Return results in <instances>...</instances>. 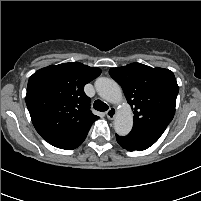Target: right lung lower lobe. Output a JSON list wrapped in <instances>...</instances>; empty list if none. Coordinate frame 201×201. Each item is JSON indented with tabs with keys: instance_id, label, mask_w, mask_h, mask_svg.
I'll return each instance as SVG.
<instances>
[{
	"instance_id": "right-lung-lower-lobe-1",
	"label": "right lung lower lobe",
	"mask_w": 201,
	"mask_h": 201,
	"mask_svg": "<svg viewBox=\"0 0 201 201\" xmlns=\"http://www.w3.org/2000/svg\"><path fill=\"white\" fill-rule=\"evenodd\" d=\"M86 136L87 134L70 140L50 141L48 143L60 149L72 150L81 145L85 140Z\"/></svg>"
}]
</instances>
